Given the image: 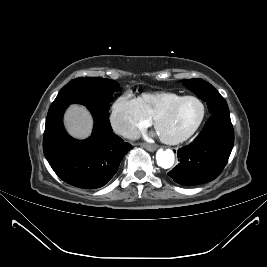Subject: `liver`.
<instances>
[{
	"label": "liver",
	"instance_id": "6515ba94",
	"mask_svg": "<svg viewBox=\"0 0 267 267\" xmlns=\"http://www.w3.org/2000/svg\"><path fill=\"white\" fill-rule=\"evenodd\" d=\"M64 125L72 137L85 139L92 132L93 118L85 106L74 104L65 113Z\"/></svg>",
	"mask_w": 267,
	"mask_h": 267
}]
</instances>
